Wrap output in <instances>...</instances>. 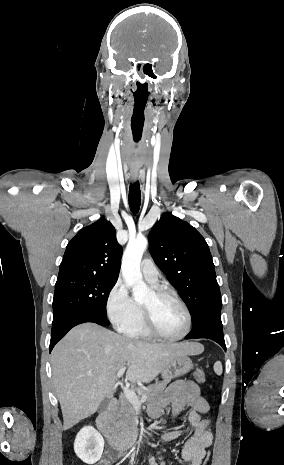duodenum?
Here are the masks:
<instances>
[{
	"label": "duodenum",
	"instance_id": "1",
	"mask_svg": "<svg viewBox=\"0 0 284 465\" xmlns=\"http://www.w3.org/2000/svg\"><path fill=\"white\" fill-rule=\"evenodd\" d=\"M117 405V400H109L106 406L98 413L95 424L114 449L124 450L143 440L144 433L139 428L128 432H120L114 427L111 418Z\"/></svg>",
	"mask_w": 284,
	"mask_h": 465
}]
</instances>
